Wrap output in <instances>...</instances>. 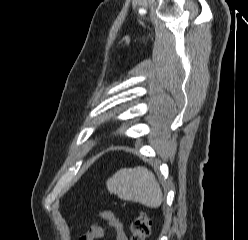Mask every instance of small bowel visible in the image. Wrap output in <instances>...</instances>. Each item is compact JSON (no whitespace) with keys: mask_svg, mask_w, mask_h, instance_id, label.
Instances as JSON below:
<instances>
[{"mask_svg":"<svg viewBox=\"0 0 248 240\" xmlns=\"http://www.w3.org/2000/svg\"><path fill=\"white\" fill-rule=\"evenodd\" d=\"M99 217L105 220L112 227L115 240H128L124 223L112 211H102L99 214ZM103 236L104 229L100 225L94 224L90 226L78 240H96L102 238Z\"/></svg>","mask_w":248,"mask_h":240,"instance_id":"1","label":"small bowel"}]
</instances>
